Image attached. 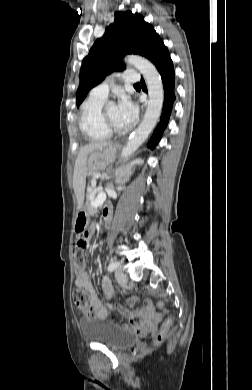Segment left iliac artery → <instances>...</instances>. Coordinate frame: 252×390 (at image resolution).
<instances>
[{
  "mask_svg": "<svg viewBox=\"0 0 252 390\" xmlns=\"http://www.w3.org/2000/svg\"><path fill=\"white\" fill-rule=\"evenodd\" d=\"M119 267V262L118 261H113L110 263V265L108 266V271L109 272H112L114 271L116 268Z\"/></svg>",
  "mask_w": 252,
  "mask_h": 390,
  "instance_id": "1",
  "label": "left iliac artery"
}]
</instances>
